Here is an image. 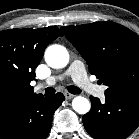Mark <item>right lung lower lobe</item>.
Listing matches in <instances>:
<instances>
[{"label": "right lung lower lobe", "mask_w": 139, "mask_h": 139, "mask_svg": "<svg viewBox=\"0 0 139 139\" xmlns=\"http://www.w3.org/2000/svg\"><path fill=\"white\" fill-rule=\"evenodd\" d=\"M65 100L53 97L36 99L0 110V139H46L55 110Z\"/></svg>", "instance_id": "98d812e1"}]
</instances>
